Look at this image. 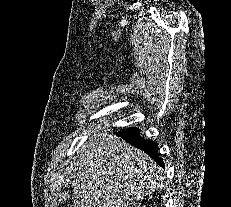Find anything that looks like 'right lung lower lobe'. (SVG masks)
<instances>
[{"mask_svg":"<svg viewBox=\"0 0 231 207\" xmlns=\"http://www.w3.org/2000/svg\"><path fill=\"white\" fill-rule=\"evenodd\" d=\"M118 136L123 138L125 141L134 145L135 147L143 150L147 153L154 161L164 167V163L158 156V146L157 143L151 140H145L140 136L139 129L129 128L116 133Z\"/></svg>","mask_w":231,"mask_h":207,"instance_id":"1","label":"right lung lower lobe"}]
</instances>
